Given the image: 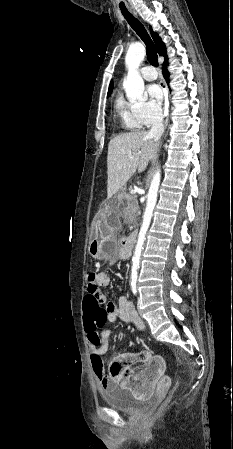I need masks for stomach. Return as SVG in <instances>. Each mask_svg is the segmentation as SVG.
Returning <instances> with one entry per match:
<instances>
[{"mask_svg":"<svg viewBox=\"0 0 233 449\" xmlns=\"http://www.w3.org/2000/svg\"><path fill=\"white\" fill-rule=\"evenodd\" d=\"M121 194L115 196L112 201H100L99 209L104 212H96V240L90 242L89 253L92 257L100 260L115 262L118 258L119 246L117 239L113 236V227L118 226L121 220ZM115 200V201H114Z\"/></svg>","mask_w":233,"mask_h":449,"instance_id":"1","label":"stomach"}]
</instances>
